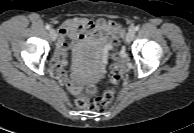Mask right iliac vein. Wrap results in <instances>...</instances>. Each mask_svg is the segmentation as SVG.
I'll use <instances>...</instances> for the list:
<instances>
[{"label":"right iliac vein","instance_id":"obj_1","mask_svg":"<svg viewBox=\"0 0 194 133\" xmlns=\"http://www.w3.org/2000/svg\"><path fill=\"white\" fill-rule=\"evenodd\" d=\"M50 37H51V39H52L53 41L56 40V38H57V32H56L55 29H50Z\"/></svg>","mask_w":194,"mask_h":133}]
</instances>
